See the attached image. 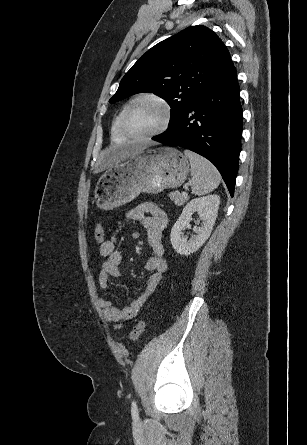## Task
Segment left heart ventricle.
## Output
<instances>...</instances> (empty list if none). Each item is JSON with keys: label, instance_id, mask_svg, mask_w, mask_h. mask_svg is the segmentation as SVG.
Instances as JSON below:
<instances>
[{"label": "left heart ventricle", "instance_id": "1", "mask_svg": "<svg viewBox=\"0 0 307 445\" xmlns=\"http://www.w3.org/2000/svg\"><path fill=\"white\" fill-rule=\"evenodd\" d=\"M163 119V108L150 100L134 104L129 111L130 126L137 133L155 130L161 125Z\"/></svg>", "mask_w": 307, "mask_h": 445}]
</instances>
